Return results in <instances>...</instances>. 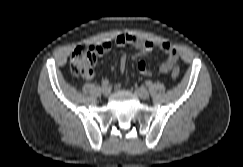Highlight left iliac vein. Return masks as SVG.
<instances>
[{
    "label": "left iliac vein",
    "instance_id": "1",
    "mask_svg": "<svg viewBox=\"0 0 243 167\" xmlns=\"http://www.w3.org/2000/svg\"><path fill=\"white\" fill-rule=\"evenodd\" d=\"M135 94L141 99H147L149 97V92L144 87H139L135 89Z\"/></svg>",
    "mask_w": 243,
    "mask_h": 167
}]
</instances>
